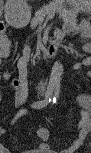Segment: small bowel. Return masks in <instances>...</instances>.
Instances as JSON below:
<instances>
[{
    "instance_id": "small-bowel-1",
    "label": "small bowel",
    "mask_w": 91,
    "mask_h": 153,
    "mask_svg": "<svg viewBox=\"0 0 91 153\" xmlns=\"http://www.w3.org/2000/svg\"><path fill=\"white\" fill-rule=\"evenodd\" d=\"M1 55L6 58L9 55V46L4 45L1 47ZM10 75L4 74V78L8 79ZM12 87L15 92L11 96V102L14 106H20L26 100L28 94V86H27V60L25 57L19 59L17 63V71L16 77L11 81ZM78 105L83 112V119L79 125L77 136L73 139V141L69 144V146L63 150L61 153H75L82 145L85 137L91 130V122L88 117V112L91 107V99L88 94L82 93L78 96ZM4 131H1V135H4ZM39 139L42 141H46L48 139L49 133L45 129H40L37 132ZM2 152L8 153V149L6 147L1 148ZM32 152L35 153H50L52 152L51 147L45 143H40L36 149Z\"/></svg>"
}]
</instances>
